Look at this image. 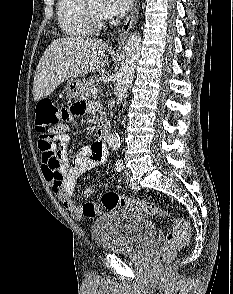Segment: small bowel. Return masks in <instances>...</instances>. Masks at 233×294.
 Instances as JSON below:
<instances>
[{"mask_svg":"<svg viewBox=\"0 0 233 294\" xmlns=\"http://www.w3.org/2000/svg\"><path fill=\"white\" fill-rule=\"evenodd\" d=\"M94 109L95 105L90 102L72 104V108H60L62 120H57L56 124L61 125V129H72V122H79L78 116ZM69 141V134L61 133L55 136L49 149L40 147L42 172L54 194L73 218L81 220L84 217H94L97 212L88 214L85 212V206L95 203L88 201L83 206H77L72 199V194L77 179L106 160L107 150L104 144L95 141L91 145L78 150L74 156H67ZM67 161H73V163ZM83 195L91 199L94 195L93 188L85 187Z\"/></svg>","mask_w":233,"mask_h":294,"instance_id":"1","label":"small bowel"}]
</instances>
